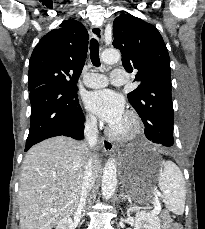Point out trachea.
<instances>
[{
	"label": "trachea",
	"instance_id": "trachea-1",
	"mask_svg": "<svg viewBox=\"0 0 205 229\" xmlns=\"http://www.w3.org/2000/svg\"><path fill=\"white\" fill-rule=\"evenodd\" d=\"M90 59L94 66H100V58H99V43L96 39H91L90 42Z\"/></svg>",
	"mask_w": 205,
	"mask_h": 229
}]
</instances>
